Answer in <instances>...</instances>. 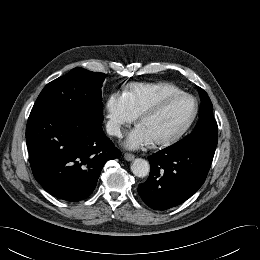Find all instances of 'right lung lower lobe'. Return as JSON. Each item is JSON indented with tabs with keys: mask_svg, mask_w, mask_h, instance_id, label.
<instances>
[{
	"mask_svg": "<svg viewBox=\"0 0 260 260\" xmlns=\"http://www.w3.org/2000/svg\"><path fill=\"white\" fill-rule=\"evenodd\" d=\"M101 122L75 112L30 113L26 127L30 165L48 193L69 202L86 199L104 164L121 156Z\"/></svg>",
	"mask_w": 260,
	"mask_h": 260,
	"instance_id": "right-lung-lower-lobe-1",
	"label": "right lung lower lobe"
}]
</instances>
